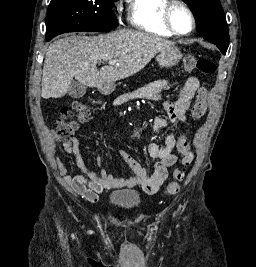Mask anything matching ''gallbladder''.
Wrapping results in <instances>:
<instances>
[{"label": "gallbladder", "instance_id": "bac80fb5", "mask_svg": "<svg viewBox=\"0 0 256 267\" xmlns=\"http://www.w3.org/2000/svg\"><path fill=\"white\" fill-rule=\"evenodd\" d=\"M87 86L80 84V82H71L68 88V96L71 98H82L86 94Z\"/></svg>", "mask_w": 256, "mask_h": 267}]
</instances>
